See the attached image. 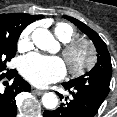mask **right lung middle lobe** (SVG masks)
<instances>
[{
  "instance_id": "1",
  "label": "right lung middle lobe",
  "mask_w": 117,
  "mask_h": 117,
  "mask_svg": "<svg viewBox=\"0 0 117 117\" xmlns=\"http://www.w3.org/2000/svg\"><path fill=\"white\" fill-rule=\"evenodd\" d=\"M22 31L20 26L0 29V73L6 69V62L15 56L16 43Z\"/></svg>"
}]
</instances>
